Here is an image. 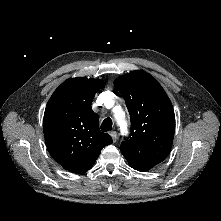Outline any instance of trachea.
<instances>
[{"label":"trachea","instance_id":"1","mask_svg":"<svg viewBox=\"0 0 221 221\" xmlns=\"http://www.w3.org/2000/svg\"><path fill=\"white\" fill-rule=\"evenodd\" d=\"M112 129V120L110 118H106L103 120L101 124V130L103 132H108Z\"/></svg>","mask_w":221,"mask_h":221}]
</instances>
